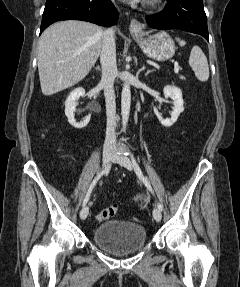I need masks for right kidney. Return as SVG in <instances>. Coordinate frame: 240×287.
I'll list each match as a JSON object with an SVG mask.
<instances>
[{
    "label": "right kidney",
    "instance_id": "1",
    "mask_svg": "<svg viewBox=\"0 0 240 287\" xmlns=\"http://www.w3.org/2000/svg\"><path fill=\"white\" fill-rule=\"evenodd\" d=\"M83 96H85V90L82 87H78L69 94L65 101V115L68 119V122L77 129L86 127L91 118V115H88L83 121L77 122L74 117L77 100Z\"/></svg>",
    "mask_w": 240,
    "mask_h": 287
}]
</instances>
